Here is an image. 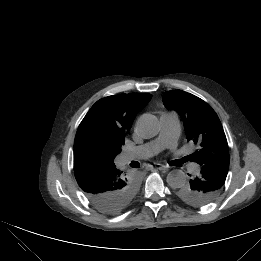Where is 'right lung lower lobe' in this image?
I'll return each instance as SVG.
<instances>
[{
    "label": "right lung lower lobe",
    "instance_id": "1",
    "mask_svg": "<svg viewBox=\"0 0 261 261\" xmlns=\"http://www.w3.org/2000/svg\"><path fill=\"white\" fill-rule=\"evenodd\" d=\"M74 171L79 187L91 205L101 213L119 214L133 200L127 204L125 197L134 181L124 177L114 162L78 161L74 162Z\"/></svg>",
    "mask_w": 261,
    "mask_h": 261
}]
</instances>
